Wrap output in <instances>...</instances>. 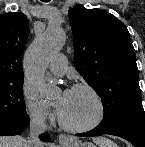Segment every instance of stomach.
<instances>
[{
    "label": "stomach",
    "instance_id": "obj_1",
    "mask_svg": "<svg viewBox=\"0 0 145 147\" xmlns=\"http://www.w3.org/2000/svg\"><path fill=\"white\" fill-rule=\"evenodd\" d=\"M63 147H95V145L89 142L82 143L78 140H73L68 144H64Z\"/></svg>",
    "mask_w": 145,
    "mask_h": 147
}]
</instances>
